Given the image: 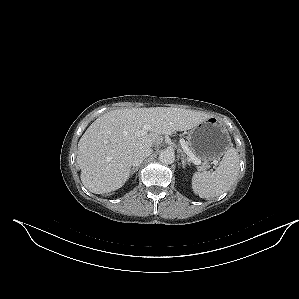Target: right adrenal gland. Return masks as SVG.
Wrapping results in <instances>:
<instances>
[{"label":"right adrenal gland","instance_id":"2a0ac1e0","mask_svg":"<svg viewBox=\"0 0 299 299\" xmlns=\"http://www.w3.org/2000/svg\"><path fill=\"white\" fill-rule=\"evenodd\" d=\"M139 166L138 167H134L131 169L130 175L132 176L136 171H138Z\"/></svg>","mask_w":299,"mask_h":299}]
</instances>
